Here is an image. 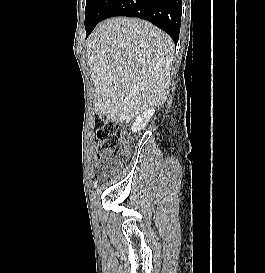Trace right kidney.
I'll return each mask as SVG.
<instances>
[{
    "instance_id": "obj_1",
    "label": "right kidney",
    "mask_w": 265,
    "mask_h": 273,
    "mask_svg": "<svg viewBox=\"0 0 265 273\" xmlns=\"http://www.w3.org/2000/svg\"><path fill=\"white\" fill-rule=\"evenodd\" d=\"M154 112H155L154 108H149L148 110L138 115L135 119V122L132 124V127H131L132 132L135 133L145 128L150 118L153 116Z\"/></svg>"
}]
</instances>
